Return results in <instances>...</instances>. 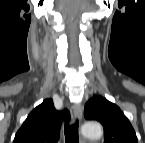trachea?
<instances>
[{"mask_svg":"<svg viewBox=\"0 0 145 143\" xmlns=\"http://www.w3.org/2000/svg\"><path fill=\"white\" fill-rule=\"evenodd\" d=\"M78 120L73 125H65V141L66 143H78Z\"/></svg>","mask_w":145,"mask_h":143,"instance_id":"obj_1","label":"trachea"}]
</instances>
